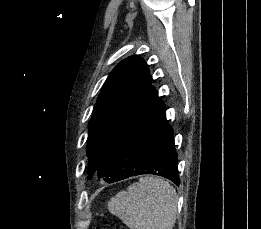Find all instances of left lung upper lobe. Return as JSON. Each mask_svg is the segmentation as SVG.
<instances>
[{
	"instance_id": "1",
	"label": "left lung upper lobe",
	"mask_w": 261,
	"mask_h": 229,
	"mask_svg": "<svg viewBox=\"0 0 261 229\" xmlns=\"http://www.w3.org/2000/svg\"><path fill=\"white\" fill-rule=\"evenodd\" d=\"M138 56L122 60L105 81L88 124L89 176L113 143L158 93Z\"/></svg>"
}]
</instances>
